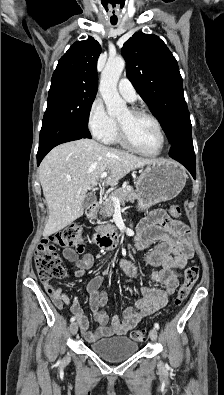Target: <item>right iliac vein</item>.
Wrapping results in <instances>:
<instances>
[{
	"instance_id": "1",
	"label": "right iliac vein",
	"mask_w": 224,
	"mask_h": 395,
	"mask_svg": "<svg viewBox=\"0 0 224 395\" xmlns=\"http://www.w3.org/2000/svg\"><path fill=\"white\" fill-rule=\"evenodd\" d=\"M78 331V324L76 322L70 325V333L71 335H75Z\"/></svg>"
}]
</instances>
